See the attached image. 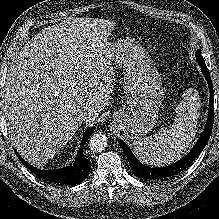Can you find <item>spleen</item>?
<instances>
[{"instance_id":"obj_1","label":"spleen","mask_w":219,"mask_h":219,"mask_svg":"<svg viewBox=\"0 0 219 219\" xmlns=\"http://www.w3.org/2000/svg\"><path fill=\"white\" fill-rule=\"evenodd\" d=\"M199 108L195 90H187L176 107V116L169 129L163 127L153 136L133 140L135 156L146 165L156 167L179 159L195 136Z\"/></svg>"}]
</instances>
